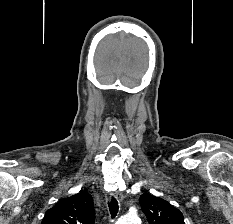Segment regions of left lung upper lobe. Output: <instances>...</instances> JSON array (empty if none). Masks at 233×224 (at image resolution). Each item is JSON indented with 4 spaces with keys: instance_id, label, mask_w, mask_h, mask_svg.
I'll list each match as a JSON object with an SVG mask.
<instances>
[{
    "instance_id": "5c2ea615",
    "label": "left lung upper lobe",
    "mask_w": 233,
    "mask_h": 224,
    "mask_svg": "<svg viewBox=\"0 0 233 224\" xmlns=\"http://www.w3.org/2000/svg\"><path fill=\"white\" fill-rule=\"evenodd\" d=\"M139 201L150 224H185L181 211L166 200L144 193Z\"/></svg>"
}]
</instances>
